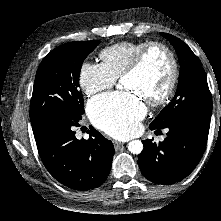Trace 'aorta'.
I'll return each instance as SVG.
<instances>
[{
    "label": "aorta",
    "mask_w": 221,
    "mask_h": 221,
    "mask_svg": "<svg viewBox=\"0 0 221 221\" xmlns=\"http://www.w3.org/2000/svg\"><path fill=\"white\" fill-rule=\"evenodd\" d=\"M128 150L133 154H140L143 150V143L140 140H133L128 143Z\"/></svg>",
    "instance_id": "aorta-1"
}]
</instances>
